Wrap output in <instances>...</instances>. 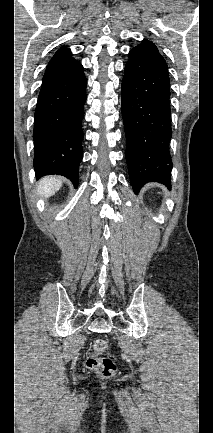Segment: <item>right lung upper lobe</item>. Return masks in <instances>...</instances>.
Segmentation results:
<instances>
[{"mask_svg": "<svg viewBox=\"0 0 213 433\" xmlns=\"http://www.w3.org/2000/svg\"><path fill=\"white\" fill-rule=\"evenodd\" d=\"M63 58H71V51L70 49L66 48V47H62L60 48L55 55L53 56V58L51 59V61L53 60H58V59H63ZM50 61V62H51Z\"/></svg>", "mask_w": 213, "mask_h": 433, "instance_id": "1", "label": "right lung upper lobe"}]
</instances>
